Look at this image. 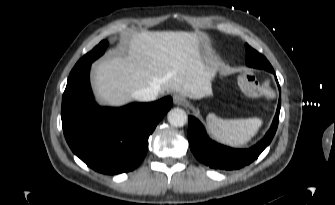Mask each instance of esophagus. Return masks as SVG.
I'll list each match as a JSON object with an SVG mask.
<instances>
[{
    "mask_svg": "<svg viewBox=\"0 0 335 205\" xmlns=\"http://www.w3.org/2000/svg\"><path fill=\"white\" fill-rule=\"evenodd\" d=\"M173 102L176 105H183L185 104L186 99L183 96L176 94L173 96Z\"/></svg>",
    "mask_w": 335,
    "mask_h": 205,
    "instance_id": "esophagus-1",
    "label": "esophagus"
}]
</instances>
